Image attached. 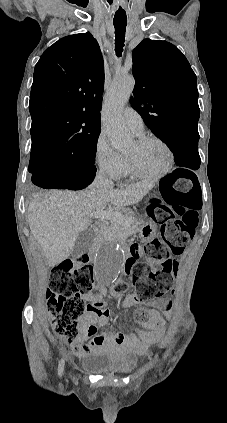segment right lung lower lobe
I'll return each mask as SVG.
<instances>
[{
  "mask_svg": "<svg viewBox=\"0 0 227 423\" xmlns=\"http://www.w3.org/2000/svg\"><path fill=\"white\" fill-rule=\"evenodd\" d=\"M45 170L32 173V182L39 187L50 189L80 190L87 187L96 172L75 169L76 166L63 161L48 160Z\"/></svg>",
  "mask_w": 227,
  "mask_h": 423,
  "instance_id": "1",
  "label": "right lung lower lobe"
}]
</instances>
